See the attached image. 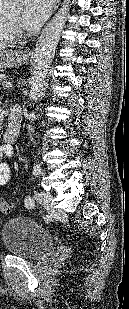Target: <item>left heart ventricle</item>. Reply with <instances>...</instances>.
<instances>
[{
	"instance_id": "left-heart-ventricle-1",
	"label": "left heart ventricle",
	"mask_w": 129,
	"mask_h": 309,
	"mask_svg": "<svg viewBox=\"0 0 129 309\" xmlns=\"http://www.w3.org/2000/svg\"><path fill=\"white\" fill-rule=\"evenodd\" d=\"M8 18L20 29L23 28L20 14H10Z\"/></svg>"
}]
</instances>
